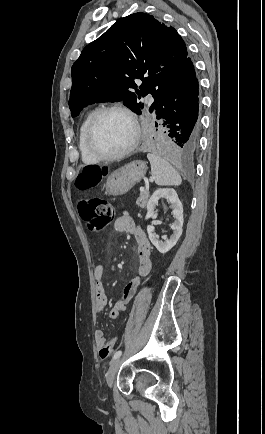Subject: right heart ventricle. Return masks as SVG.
<instances>
[{
  "label": "right heart ventricle",
  "instance_id": "right-heart-ventricle-1",
  "mask_svg": "<svg viewBox=\"0 0 265 434\" xmlns=\"http://www.w3.org/2000/svg\"><path fill=\"white\" fill-rule=\"evenodd\" d=\"M95 112L96 109H90L86 112L80 124L77 135L78 154L81 163L85 166H94L100 162L99 159H97L90 153L86 144V136L88 135L89 124Z\"/></svg>",
  "mask_w": 265,
  "mask_h": 434
}]
</instances>
